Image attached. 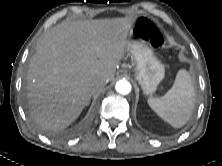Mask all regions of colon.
<instances>
[{
	"label": "colon",
	"instance_id": "5ec220e1",
	"mask_svg": "<svg viewBox=\"0 0 222 166\" xmlns=\"http://www.w3.org/2000/svg\"><path fill=\"white\" fill-rule=\"evenodd\" d=\"M132 33L139 39L148 42L156 48H166V38L160 27L149 17H140Z\"/></svg>",
	"mask_w": 222,
	"mask_h": 166
}]
</instances>
